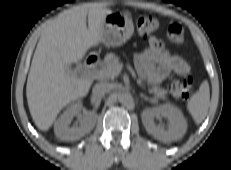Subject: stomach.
I'll list each match as a JSON object with an SVG mask.
<instances>
[{
	"instance_id": "obj_1",
	"label": "stomach",
	"mask_w": 231,
	"mask_h": 170,
	"mask_svg": "<svg viewBox=\"0 0 231 170\" xmlns=\"http://www.w3.org/2000/svg\"><path fill=\"white\" fill-rule=\"evenodd\" d=\"M134 32V25L129 14L112 12L106 15L100 27L102 43L106 46L124 44Z\"/></svg>"
}]
</instances>
